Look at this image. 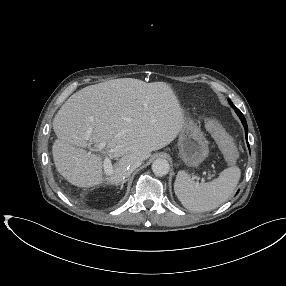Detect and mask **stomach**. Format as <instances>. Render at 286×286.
I'll list each match as a JSON object with an SVG mask.
<instances>
[{"instance_id": "0dacf381", "label": "stomach", "mask_w": 286, "mask_h": 286, "mask_svg": "<svg viewBox=\"0 0 286 286\" xmlns=\"http://www.w3.org/2000/svg\"><path fill=\"white\" fill-rule=\"evenodd\" d=\"M208 144L200 127L193 120L185 119L178 139L182 161L189 167H198L209 154Z\"/></svg>"}]
</instances>
